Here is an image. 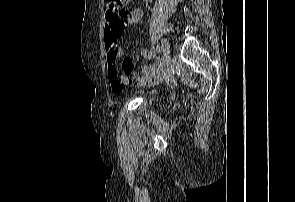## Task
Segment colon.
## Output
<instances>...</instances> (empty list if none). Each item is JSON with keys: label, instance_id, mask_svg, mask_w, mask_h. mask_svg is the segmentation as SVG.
I'll return each mask as SVG.
<instances>
[{"label": "colon", "instance_id": "1", "mask_svg": "<svg viewBox=\"0 0 295 202\" xmlns=\"http://www.w3.org/2000/svg\"><path fill=\"white\" fill-rule=\"evenodd\" d=\"M129 0H106V9L108 15L113 19H122L127 18V11L125 6ZM119 86V85H117Z\"/></svg>", "mask_w": 295, "mask_h": 202}]
</instances>
